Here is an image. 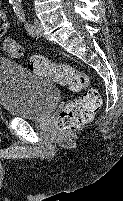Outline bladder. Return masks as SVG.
<instances>
[{
    "label": "bladder",
    "mask_w": 123,
    "mask_h": 201,
    "mask_svg": "<svg viewBox=\"0 0 123 201\" xmlns=\"http://www.w3.org/2000/svg\"><path fill=\"white\" fill-rule=\"evenodd\" d=\"M60 100L58 87L10 58L0 57V107L10 116L45 120Z\"/></svg>",
    "instance_id": "obj_1"
}]
</instances>
